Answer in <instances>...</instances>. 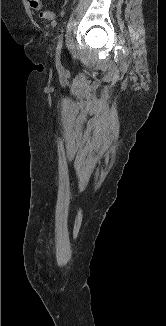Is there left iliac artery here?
<instances>
[{
	"mask_svg": "<svg viewBox=\"0 0 166 326\" xmlns=\"http://www.w3.org/2000/svg\"><path fill=\"white\" fill-rule=\"evenodd\" d=\"M62 43H63V34H61V35L59 36V41H58V45H57V53H58V54L61 53Z\"/></svg>",
	"mask_w": 166,
	"mask_h": 326,
	"instance_id": "44dca946",
	"label": "left iliac artery"
}]
</instances>
